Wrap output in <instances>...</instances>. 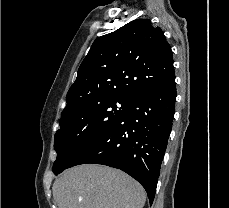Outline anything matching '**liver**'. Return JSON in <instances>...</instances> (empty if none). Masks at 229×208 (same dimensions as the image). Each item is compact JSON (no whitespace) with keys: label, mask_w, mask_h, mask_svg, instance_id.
Listing matches in <instances>:
<instances>
[{"label":"liver","mask_w":229,"mask_h":208,"mask_svg":"<svg viewBox=\"0 0 229 208\" xmlns=\"http://www.w3.org/2000/svg\"><path fill=\"white\" fill-rule=\"evenodd\" d=\"M58 208H143L144 188L130 176L98 164L65 170L53 184Z\"/></svg>","instance_id":"6515ba94"}]
</instances>
